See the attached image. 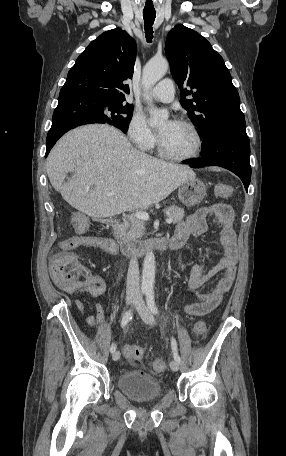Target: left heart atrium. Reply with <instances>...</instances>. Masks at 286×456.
<instances>
[{
	"instance_id": "left-heart-atrium-1",
	"label": "left heart atrium",
	"mask_w": 286,
	"mask_h": 456,
	"mask_svg": "<svg viewBox=\"0 0 286 456\" xmlns=\"http://www.w3.org/2000/svg\"><path fill=\"white\" fill-rule=\"evenodd\" d=\"M173 122H168L167 126L171 125Z\"/></svg>"
}]
</instances>
